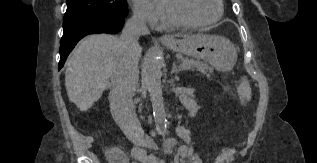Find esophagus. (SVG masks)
Listing matches in <instances>:
<instances>
[{
	"instance_id": "34e87169",
	"label": "esophagus",
	"mask_w": 317,
	"mask_h": 163,
	"mask_svg": "<svg viewBox=\"0 0 317 163\" xmlns=\"http://www.w3.org/2000/svg\"><path fill=\"white\" fill-rule=\"evenodd\" d=\"M172 38L169 35H163L160 37L161 41H170Z\"/></svg>"
}]
</instances>
